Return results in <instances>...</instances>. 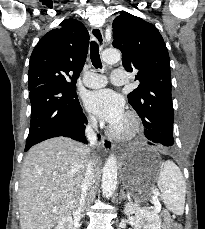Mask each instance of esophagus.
<instances>
[{
	"instance_id": "esophagus-1",
	"label": "esophagus",
	"mask_w": 205,
	"mask_h": 229,
	"mask_svg": "<svg viewBox=\"0 0 205 229\" xmlns=\"http://www.w3.org/2000/svg\"><path fill=\"white\" fill-rule=\"evenodd\" d=\"M91 37L100 45L104 46V36L102 29L98 26H93L90 31ZM102 146L106 152L111 151L114 148L113 142L106 137H102Z\"/></svg>"
}]
</instances>
